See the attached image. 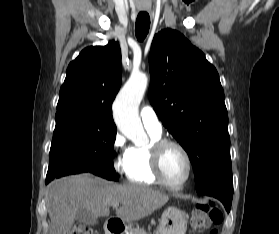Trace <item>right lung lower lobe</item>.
Returning a JSON list of instances; mask_svg holds the SVG:
<instances>
[{"instance_id":"1","label":"right lung lower lobe","mask_w":279,"mask_h":234,"mask_svg":"<svg viewBox=\"0 0 279 234\" xmlns=\"http://www.w3.org/2000/svg\"><path fill=\"white\" fill-rule=\"evenodd\" d=\"M65 172L67 173L66 175H68V174L81 173V172H84V171H83V168H73V169H69ZM48 182H50V181H46V183H48Z\"/></svg>"}]
</instances>
